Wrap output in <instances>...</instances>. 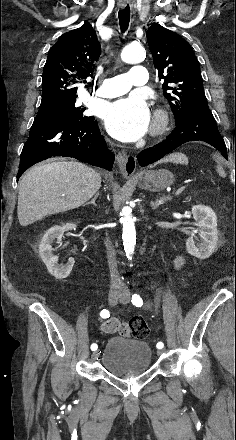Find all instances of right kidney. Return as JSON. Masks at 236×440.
I'll use <instances>...</instances> for the list:
<instances>
[{
	"label": "right kidney",
	"mask_w": 236,
	"mask_h": 440,
	"mask_svg": "<svg viewBox=\"0 0 236 440\" xmlns=\"http://www.w3.org/2000/svg\"><path fill=\"white\" fill-rule=\"evenodd\" d=\"M76 225L67 223L62 226H54L50 228L42 237L39 245V254L42 261L45 263L48 272L56 279H64L68 277L72 271L75 263L73 258H69L66 265H58V257L53 255L51 244L55 239L60 241L66 230L75 229Z\"/></svg>",
	"instance_id": "obj_1"
}]
</instances>
